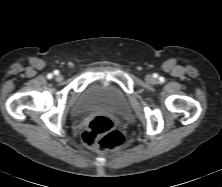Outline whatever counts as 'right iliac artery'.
I'll list each match as a JSON object with an SVG mask.
<instances>
[{"label":"right iliac artery","mask_w":222,"mask_h":187,"mask_svg":"<svg viewBox=\"0 0 222 187\" xmlns=\"http://www.w3.org/2000/svg\"><path fill=\"white\" fill-rule=\"evenodd\" d=\"M54 73H55V74H58V71H55ZM47 78H48V79H51V78H52V74H48V75H47Z\"/></svg>","instance_id":"right-iliac-artery-1"}]
</instances>
